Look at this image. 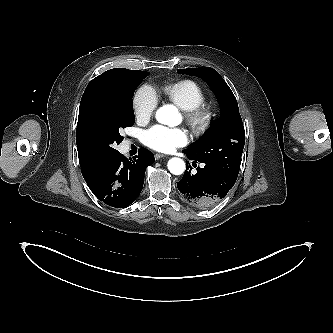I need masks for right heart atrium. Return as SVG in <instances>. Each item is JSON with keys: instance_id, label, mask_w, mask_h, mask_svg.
Returning <instances> with one entry per match:
<instances>
[{"instance_id": "obj_1", "label": "right heart atrium", "mask_w": 333, "mask_h": 333, "mask_svg": "<svg viewBox=\"0 0 333 333\" xmlns=\"http://www.w3.org/2000/svg\"><path fill=\"white\" fill-rule=\"evenodd\" d=\"M155 92L148 86L141 87L135 94L133 107L138 120H148L157 107Z\"/></svg>"}]
</instances>
